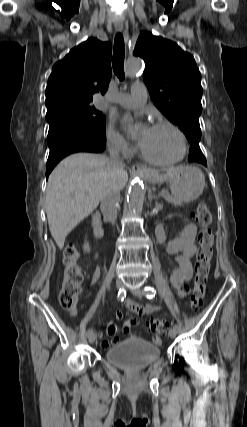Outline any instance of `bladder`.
Returning <instances> with one entry per match:
<instances>
[{"label": "bladder", "instance_id": "31cf9c89", "mask_svg": "<svg viewBox=\"0 0 247 427\" xmlns=\"http://www.w3.org/2000/svg\"><path fill=\"white\" fill-rule=\"evenodd\" d=\"M160 356V348L143 340H126L109 347L105 358L111 364L128 369H143Z\"/></svg>", "mask_w": 247, "mask_h": 427}]
</instances>
